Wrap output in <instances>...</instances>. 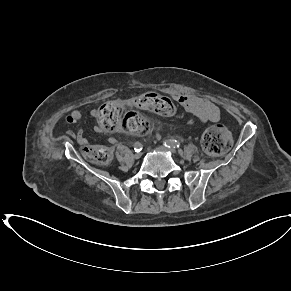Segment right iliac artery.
<instances>
[{
	"mask_svg": "<svg viewBox=\"0 0 291 291\" xmlns=\"http://www.w3.org/2000/svg\"><path fill=\"white\" fill-rule=\"evenodd\" d=\"M142 148H143V146L141 143H139V142L135 143V145H134L135 152H140L142 150Z\"/></svg>",
	"mask_w": 291,
	"mask_h": 291,
	"instance_id": "right-iliac-artery-1",
	"label": "right iliac artery"
}]
</instances>
